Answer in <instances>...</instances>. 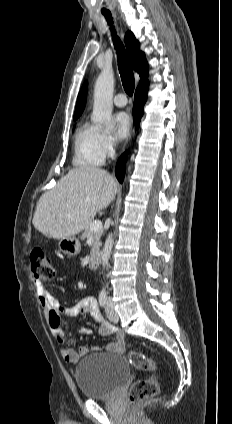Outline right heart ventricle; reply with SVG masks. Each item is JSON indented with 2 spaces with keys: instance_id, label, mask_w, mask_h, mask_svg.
I'll return each mask as SVG.
<instances>
[{
  "instance_id": "right-heart-ventricle-1",
  "label": "right heart ventricle",
  "mask_w": 232,
  "mask_h": 424,
  "mask_svg": "<svg viewBox=\"0 0 232 424\" xmlns=\"http://www.w3.org/2000/svg\"><path fill=\"white\" fill-rule=\"evenodd\" d=\"M102 131L94 124L84 121L74 136L73 164L76 167H94L103 164L105 154L101 148Z\"/></svg>"
}]
</instances>
